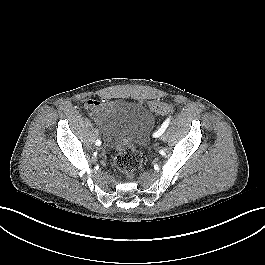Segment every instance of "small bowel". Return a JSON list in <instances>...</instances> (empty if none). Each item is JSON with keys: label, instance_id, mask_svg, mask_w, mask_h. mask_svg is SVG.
Masks as SVG:
<instances>
[{"label": "small bowel", "instance_id": "1", "mask_svg": "<svg viewBox=\"0 0 265 265\" xmlns=\"http://www.w3.org/2000/svg\"><path fill=\"white\" fill-rule=\"evenodd\" d=\"M85 107L88 110L100 114L101 112L107 110L110 107V105L109 103H105L96 99H89L86 101Z\"/></svg>", "mask_w": 265, "mask_h": 265}]
</instances>
